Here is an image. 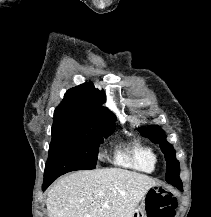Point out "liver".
Here are the masks:
<instances>
[{"label":"liver","instance_id":"obj_1","mask_svg":"<svg viewBox=\"0 0 211 217\" xmlns=\"http://www.w3.org/2000/svg\"><path fill=\"white\" fill-rule=\"evenodd\" d=\"M158 185L145 174L106 168L59 179L49 190V217H132L148 190Z\"/></svg>","mask_w":211,"mask_h":217}]
</instances>
